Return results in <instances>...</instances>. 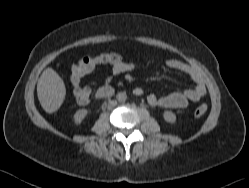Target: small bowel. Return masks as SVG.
Here are the masks:
<instances>
[{"label": "small bowel", "instance_id": "obj_1", "mask_svg": "<svg viewBox=\"0 0 249 188\" xmlns=\"http://www.w3.org/2000/svg\"><path fill=\"white\" fill-rule=\"evenodd\" d=\"M110 64L112 65V76L119 75L134 68L133 64L122 61L120 57L116 62ZM166 65L172 70L188 75L194 82V87L183 92H175L166 96H157L156 94L149 93L147 95V101L151 106L170 109H184L188 106L189 102H198L205 96L207 92L206 86L203 78L196 69L177 59L168 60ZM110 80L111 77L108 78V82ZM137 89L141 91V95L144 93L142 88H136L135 91Z\"/></svg>", "mask_w": 249, "mask_h": 188}]
</instances>
